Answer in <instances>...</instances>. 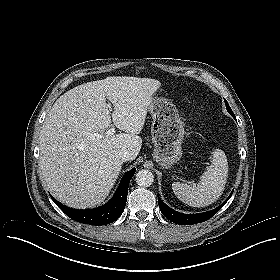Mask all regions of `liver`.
Segmentation results:
<instances>
[{"instance_id":"liver-1","label":"liver","mask_w":280,"mask_h":280,"mask_svg":"<svg viewBox=\"0 0 280 280\" xmlns=\"http://www.w3.org/2000/svg\"><path fill=\"white\" fill-rule=\"evenodd\" d=\"M155 79L107 77L76 86L54 103L40 132L39 169L51 194L79 209L100 205L122 169L121 155L139 154ZM114 106L111 114L106 103ZM111 122L125 133L106 137ZM98 133L100 138H93Z\"/></svg>"}]
</instances>
